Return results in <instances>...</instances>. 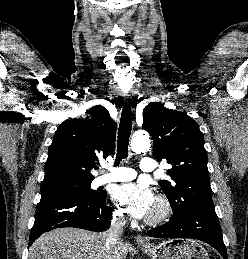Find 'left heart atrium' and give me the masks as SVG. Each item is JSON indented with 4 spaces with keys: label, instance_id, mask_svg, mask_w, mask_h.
<instances>
[{
    "label": "left heart atrium",
    "instance_id": "39dd6f15",
    "mask_svg": "<svg viewBox=\"0 0 248 259\" xmlns=\"http://www.w3.org/2000/svg\"><path fill=\"white\" fill-rule=\"evenodd\" d=\"M112 198L136 218L147 217L155 202L152 191L146 185L135 183L115 186Z\"/></svg>",
    "mask_w": 248,
    "mask_h": 259
}]
</instances>
